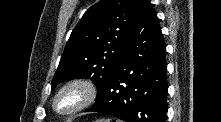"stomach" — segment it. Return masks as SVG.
<instances>
[{"label":"stomach","mask_w":221,"mask_h":122,"mask_svg":"<svg viewBox=\"0 0 221 122\" xmlns=\"http://www.w3.org/2000/svg\"><path fill=\"white\" fill-rule=\"evenodd\" d=\"M96 122H109V120H97Z\"/></svg>","instance_id":"stomach-1"}]
</instances>
